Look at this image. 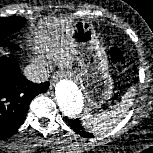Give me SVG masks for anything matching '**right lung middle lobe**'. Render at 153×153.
Masks as SVG:
<instances>
[{"label":"right lung middle lobe","instance_id":"right-lung-middle-lobe-1","mask_svg":"<svg viewBox=\"0 0 153 153\" xmlns=\"http://www.w3.org/2000/svg\"><path fill=\"white\" fill-rule=\"evenodd\" d=\"M23 17H0V39H5L7 36L18 31L25 23Z\"/></svg>","mask_w":153,"mask_h":153}]
</instances>
